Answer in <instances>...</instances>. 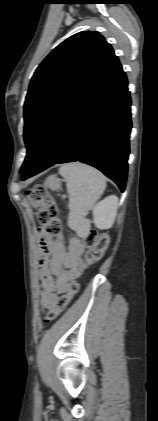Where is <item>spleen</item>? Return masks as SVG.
<instances>
[{"mask_svg": "<svg viewBox=\"0 0 158 421\" xmlns=\"http://www.w3.org/2000/svg\"><path fill=\"white\" fill-rule=\"evenodd\" d=\"M59 174L66 182L69 194L68 226L80 237H85L90 229V221L85 218L106 188V178L97 169L80 162L64 164Z\"/></svg>", "mask_w": 158, "mask_h": 421, "instance_id": "obj_1", "label": "spleen"}]
</instances>
